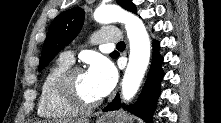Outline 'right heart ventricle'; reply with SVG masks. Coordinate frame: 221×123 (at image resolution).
Masks as SVG:
<instances>
[{
	"instance_id": "right-heart-ventricle-1",
	"label": "right heart ventricle",
	"mask_w": 221,
	"mask_h": 123,
	"mask_svg": "<svg viewBox=\"0 0 221 123\" xmlns=\"http://www.w3.org/2000/svg\"><path fill=\"white\" fill-rule=\"evenodd\" d=\"M71 63L59 58L46 72L38 100V114L47 119L62 120L78 115L79 110L66 103L57 90L59 76Z\"/></svg>"
}]
</instances>
